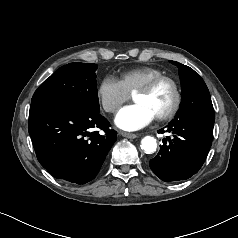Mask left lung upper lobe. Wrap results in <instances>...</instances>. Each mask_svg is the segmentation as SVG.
Returning <instances> with one entry per match:
<instances>
[{
    "instance_id": "5c2ea615",
    "label": "left lung upper lobe",
    "mask_w": 238,
    "mask_h": 238,
    "mask_svg": "<svg viewBox=\"0 0 238 238\" xmlns=\"http://www.w3.org/2000/svg\"><path fill=\"white\" fill-rule=\"evenodd\" d=\"M179 68L182 100L175 120H215L209 90L203 79L190 67L170 61Z\"/></svg>"
}]
</instances>
